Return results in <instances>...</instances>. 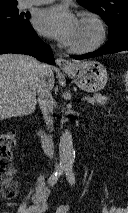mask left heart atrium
<instances>
[{
	"mask_svg": "<svg viewBox=\"0 0 128 213\" xmlns=\"http://www.w3.org/2000/svg\"><path fill=\"white\" fill-rule=\"evenodd\" d=\"M78 22L73 11L63 4L38 11L33 20L35 28L40 33L53 37L65 45L72 43Z\"/></svg>",
	"mask_w": 128,
	"mask_h": 213,
	"instance_id": "left-heart-atrium-1",
	"label": "left heart atrium"
}]
</instances>
